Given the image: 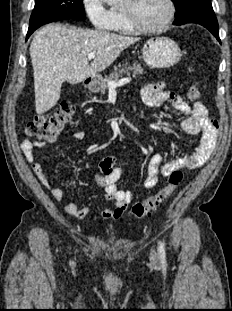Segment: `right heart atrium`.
I'll return each instance as SVG.
<instances>
[{
    "instance_id": "d8ad5b80",
    "label": "right heart atrium",
    "mask_w": 232,
    "mask_h": 311,
    "mask_svg": "<svg viewBox=\"0 0 232 311\" xmlns=\"http://www.w3.org/2000/svg\"><path fill=\"white\" fill-rule=\"evenodd\" d=\"M83 9L95 30H109L113 24L114 16L105 0H82Z\"/></svg>"
}]
</instances>
